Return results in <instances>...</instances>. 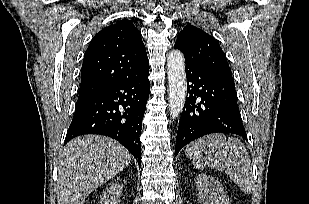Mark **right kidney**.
<instances>
[{
	"label": "right kidney",
	"instance_id": "obj_1",
	"mask_svg": "<svg viewBox=\"0 0 309 204\" xmlns=\"http://www.w3.org/2000/svg\"><path fill=\"white\" fill-rule=\"evenodd\" d=\"M123 189L122 183H114L109 188H106L101 196L98 204H117L120 199V194Z\"/></svg>",
	"mask_w": 309,
	"mask_h": 204
}]
</instances>
